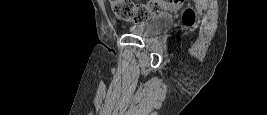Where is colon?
I'll use <instances>...</instances> for the list:
<instances>
[{
    "instance_id": "obj_1",
    "label": "colon",
    "mask_w": 267,
    "mask_h": 115,
    "mask_svg": "<svg viewBox=\"0 0 267 115\" xmlns=\"http://www.w3.org/2000/svg\"><path fill=\"white\" fill-rule=\"evenodd\" d=\"M112 7L119 18L135 23L145 21L154 15L164 12V7L159 3L141 4L129 0H114L112 1ZM183 21L189 25L194 23L195 14L193 10H185Z\"/></svg>"
}]
</instances>
